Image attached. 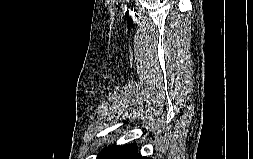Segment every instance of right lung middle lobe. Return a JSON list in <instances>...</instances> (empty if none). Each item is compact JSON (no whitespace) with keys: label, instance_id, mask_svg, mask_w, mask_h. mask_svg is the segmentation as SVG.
Returning <instances> with one entry per match:
<instances>
[{"label":"right lung middle lobe","instance_id":"right-lung-middle-lobe-1","mask_svg":"<svg viewBox=\"0 0 253 159\" xmlns=\"http://www.w3.org/2000/svg\"><path fill=\"white\" fill-rule=\"evenodd\" d=\"M111 148H112V147H108V148L104 149L101 153L98 154L97 159H98L101 155H103V154H105L107 151H109Z\"/></svg>","mask_w":253,"mask_h":159}]
</instances>
